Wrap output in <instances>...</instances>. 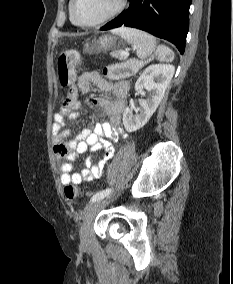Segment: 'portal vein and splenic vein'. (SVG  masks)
Returning <instances> with one entry per match:
<instances>
[{
    "label": "portal vein and splenic vein",
    "instance_id": "obj_1",
    "mask_svg": "<svg viewBox=\"0 0 233 284\" xmlns=\"http://www.w3.org/2000/svg\"><path fill=\"white\" fill-rule=\"evenodd\" d=\"M121 55L124 56V57H128V56H129V53L124 52V53H122Z\"/></svg>",
    "mask_w": 233,
    "mask_h": 284
}]
</instances>
